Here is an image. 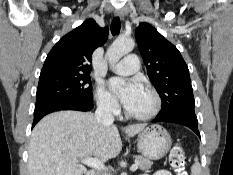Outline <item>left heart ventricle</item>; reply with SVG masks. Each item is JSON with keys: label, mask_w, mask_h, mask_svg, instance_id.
I'll use <instances>...</instances> for the list:
<instances>
[{"label": "left heart ventricle", "mask_w": 233, "mask_h": 175, "mask_svg": "<svg viewBox=\"0 0 233 175\" xmlns=\"http://www.w3.org/2000/svg\"><path fill=\"white\" fill-rule=\"evenodd\" d=\"M153 105L152 98L143 91L140 96L136 99V101L127 107V109L132 113H144L147 112Z\"/></svg>", "instance_id": "1"}]
</instances>
